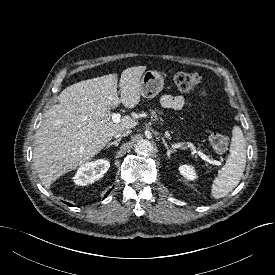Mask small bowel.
<instances>
[{
	"instance_id": "1",
	"label": "small bowel",
	"mask_w": 275,
	"mask_h": 275,
	"mask_svg": "<svg viewBox=\"0 0 275 275\" xmlns=\"http://www.w3.org/2000/svg\"><path fill=\"white\" fill-rule=\"evenodd\" d=\"M160 103L163 107L172 109H181L190 105L183 97L173 95H163L160 99Z\"/></svg>"
}]
</instances>
